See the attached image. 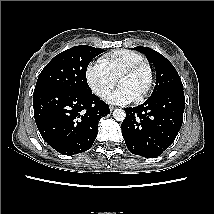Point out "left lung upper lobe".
Returning <instances> with one entry per match:
<instances>
[{
    "label": "left lung upper lobe",
    "instance_id": "1",
    "mask_svg": "<svg viewBox=\"0 0 214 214\" xmlns=\"http://www.w3.org/2000/svg\"><path fill=\"white\" fill-rule=\"evenodd\" d=\"M133 49L145 54L155 67L156 85L150 98L170 90H183L181 79L168 59L149 47L139 46Z\"/></svg>",
    "mask_w": 214,
    "mask_h": 214
}]
</instances>
